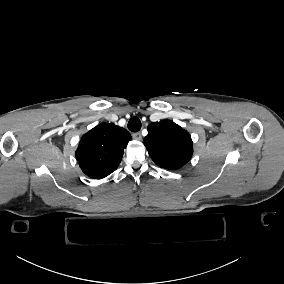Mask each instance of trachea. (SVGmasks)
<instances>
[{"mask_svg":"<svg viewBox=\"0 0 284 284\" xmlns=\"http://www.w3.org/2000/svg\"><path fill=\"white\" fill-rule=\"evenodd\" d=\"M128 129L132 132H138L141 129V121L138 117H132L128 122Z\"/></svg>","mask_w":284,"mask_h":284,"instance_id":"obj_1","label":"trachea"}]
</instances>
